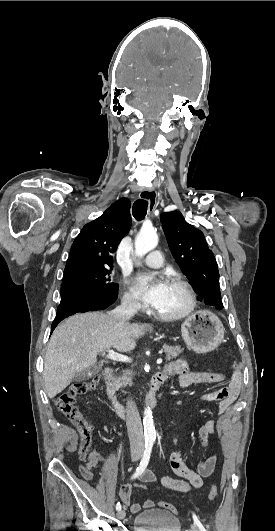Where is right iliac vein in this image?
Returning a JSON list of instances; mask_svg holds the SVG:
<instances>
[{"label": "right iliac vein", "instance_id": "obj_1", "mask_svg": "<svg viewBox=\"0 0 275 531\" xmlns=\"http://www.w3.org/2000/svg\"><path fill=\"white\" fill-rule=\"evenodd\" d=\"M140 458H141V454H139V453H134V454L132 455V461H133V462L138 461ZM125 516H126V513H125L124 510H119V511H118V513H117V517H118L119 519H124Z\"/></svg>", "mask_w": 275, "mask_h": 531}]
</instances>
